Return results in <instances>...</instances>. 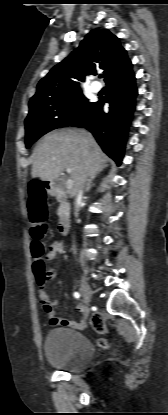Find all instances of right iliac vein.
I'll list each match as a JSON object with an SVG mask.
<instances>
[{
  "label": "right iliac vein",
  "mask_w": 168,
  "mask_h": 415,
  "mask_svg": "<svg viewBox=\"0 0 168 415\" xmlns=\"http://www.w3.org/2000/svg\"><path fill=\"white\" fill-rule=\"evenodd\" d=\"M81 291L86 305H89L92 300V290L87 281L81 277Z\"/></svg>",
  "instance_id": "1"
}]
</instances>
